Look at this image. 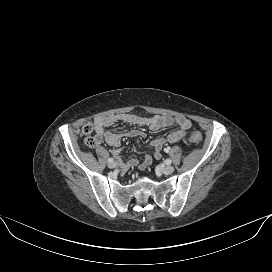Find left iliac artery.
Masks as SVG:
<instances>
[{
    "instance_id": "obj_1",
    "label": "left iliac artery",
    "mask_w": 272,
    "mask_h": 272,
    "mask_svg": "<svg viewBox=\"0 0 272 272\" xmlns=\"http://www.w3.org/2000/svg\"><path fill=\"white\" fill-rule=\"evenodd\" d=\"M165 152H169V148H165ZM165 163H166L167 165H170V164H171V160H170V159H166V160H165Z\"/></svg>"
}]
</instances>
